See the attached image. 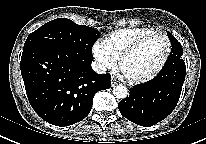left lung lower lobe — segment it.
<instances>
[{
	"label": "left lung lower lobe",
	"instance_id": "obj_1",
	"mask_svg": "<svg viewBox=\"0 0 206 144\" xmlns=\"http://www.w3.org/2000/svg\"><path fill=\"white\" fill-rule=\"evenodd\" d=\"M185 63L173 60L151 81L131 88L118 108L123 117L149 127L165 119L176 107L185 80Z\"/></svg>",
	"mask_w": 206,
	"mask_h": 144
}]
</instances>
